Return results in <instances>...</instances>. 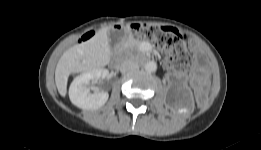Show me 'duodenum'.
I'll return each mask as SVG.
<instances>
[{"mask_svg":"<svg viewBox=\"0 0 261 150\" xmlns=\"http://www.w3.org/2000/svg\"><path fill=\"white\" fill-rule=\"evenodd\" d=\"M119 29L122 30L123 27H119ZM120 60H121L120 55H116V56L112 59V62H111L112 67H113V68H117V67L119 66Z\"/></svg>","mask_w":261,"mask_h":150,"instance_id":"duodenum-1","label":"duodenum"}]
</instances>
